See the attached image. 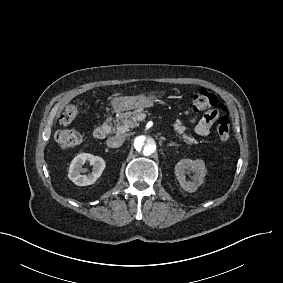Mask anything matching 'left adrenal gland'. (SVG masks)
I'll use <instances>...</instances> for the list:
<instances>
[{
	"mask_svg": "<svg viewBox=\"0 0 283 283\" xmlns=\"http://www.w3.org/2000/svg\"><path fill=\"white\" fill-rule=\"evenodd\" d=\"M169 146H179V144H177V143H175V142H171V143L169 144Z\"/></svg>",
	"mask_w": 283,
	"mask_h": 283,
	"instance_id": "1",
	"label": "left adrenal gland"
}]
</instances>
